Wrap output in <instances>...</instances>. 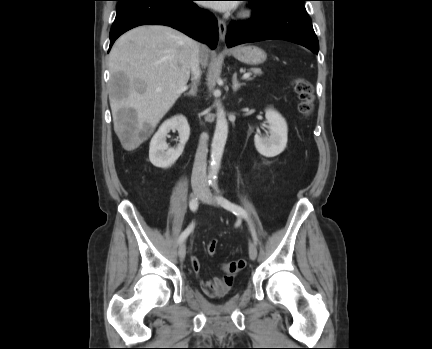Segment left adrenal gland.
<instances>
[{
  "label": "left adrenal gland",
  "mask_w": 432,
  "mask_h": 349,
  "mask_svg": "<svg viewBox=\"0 0 432 349\" xmlns=\"http://www.w3.org/2000/svg\"><path fill=\"white\" fill-rule=\"evenodd\" d=\"M245 85V83H239L237 80V74L234 73L233 79H232V90L236 92L240 89L241 86Z\"/></svg>",
  "instance_id": "obj_1"
}]
</instances>
